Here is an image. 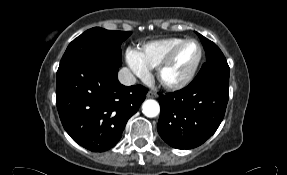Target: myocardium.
<instances>
[{"label":"myocardium","mask_w":287,"mask_h":175,"mask_svg":"<svg viewBox=\"0 0 287 175\" xmlns=\"http://www.w3.org/2000/svg\"><path fill=\"white\" fill-rule=\"evenodd\" d=\"M188 43H196L199 48V55L196 60V63L194 64L193 68L190 70V72L183 77L182 79L178 81H167L164 78V72L165 70L172 64L173 60L175 59L178 52ZM203 59V47L201 43L196 39H185L178 45H176L167 55L166 57L161 61V63L157 67V78L161 85L169 90H180L187 85H189L194 77L196 76L199 67L201 65Z\"/></svg>","instance_id":"1"}]
</instances>
